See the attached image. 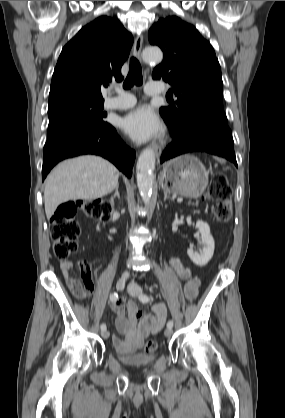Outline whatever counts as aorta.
I'll use <instances>...</instances> for the list:
<instances>
[{"label": "aorta", "mask_w": 285, "mask_h": 418, "mask_svg": "<svg viewBox=\"0 0 285 418\" xmlns=\"http://www.w3.org/2000/svg\"><path fill=\"white\" fill-rule=\"evenodd\" d=\"M142 57L145 62L157 63L162 60L163 54L160 49L146 48L142 53ZM154 169H155V153L153 149L146 148L141 152L137 161V166H136L137 186H138L141 198L145 205H149L152 199L153 184H154V174H153Z\"/></svg>", "instance_id": "1"}]
</instances>
